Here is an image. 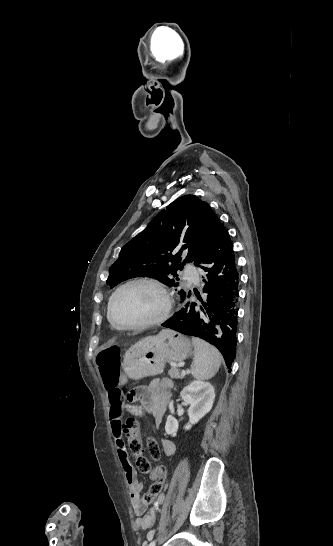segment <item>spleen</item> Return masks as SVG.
I'll list each match as a JSON object with an SVG mask.
<instances>
[{"mask_svg":"<svg viewBox=\"0 0 333 546\" xmlns=\"http://www.w3.org/2000/svg\"><path fill=\"white\" fill-rule=\"evenodd\" d=\"M195 356L191 364V373L197 380H209L218 372L222 356L219 351L206 341L193 337Z\"/></svg>","mask_w":333,"mask_h":546,"instance_id":"1","label":"spleen"}]
</instances>
